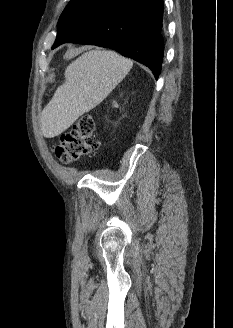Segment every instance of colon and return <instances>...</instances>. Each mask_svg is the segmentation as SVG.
Listing matches in <instances>:
<instances>
[{"mask_svg":"<svg viewBox=\"0 0 233 328\" xmlns=\"http://www.w3.org/2000/svg\"><path fill=\"white\" fill-rule=\"evenodd\" d=\"M95 123L91 116L78 118L72 128L61 134L54 148L55 157L62 163H70L92 153L96 147Z\"/></svg>","mask_w":233,"mask_h":328,"instance_id":"1","label":"colon"}]
</instances>
